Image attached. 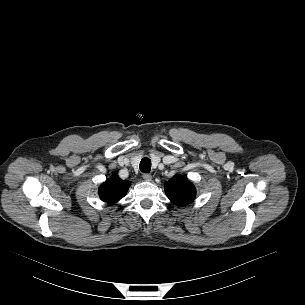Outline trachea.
<instances>
[{
    "mask_svg": "<svg viewBox=\"0 0 305 305\" xmlns=\"http://www.w3.org/2000/svg\"><path fill=\"white\" fill-rule=\"evenodd\" d=\"M139 167L142 172L149 173L151 170V160L149 158H143Z\"/></svg>",
    "mask_w": 305,
    "mask_h": 305,
    "instance_id": "1",
    "label": "trachea"
}]
</instances>
